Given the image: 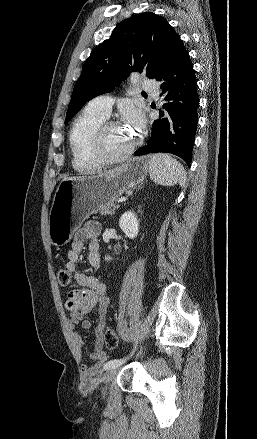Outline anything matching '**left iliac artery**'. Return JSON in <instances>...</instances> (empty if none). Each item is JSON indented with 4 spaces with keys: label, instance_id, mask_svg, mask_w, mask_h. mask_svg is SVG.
I'll list each match as a JSON object with an SVG mask.
<instances>
[{
    "label": "left iliac artery",
    "instance_id": "obj_1",
    "mask_svg": "<svg viewBox=\"0 0 257 439\" xmlns=\"http://www.w3.org/2000/svg\"><path fill=\"white\" fill-rule=\"evenodd\" d=\"M135 348H136V346H135ZM123 361H125V359H113V360H110V361H108L104 365V370H108V369L113 368V367H115L117 365H120V364L123 363Z\"/></svg>",
    "mask_w": 257,
    "mask_h": 439
}]
</instances>
